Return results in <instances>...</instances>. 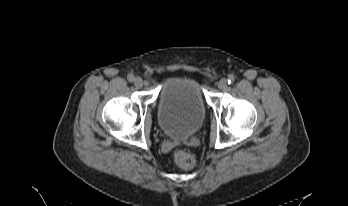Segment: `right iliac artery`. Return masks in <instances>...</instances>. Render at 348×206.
I'll list each match as a JSON object with an SVG mask.
<instances>
[{
    "label": "right iliac artery",
    "mask_w": 348,
    "mask_h": 206,
    "mask_svg": "<svg viewBox=\"0 0 348 206\" xmlns=\"http://www.w3.org/2000/svg\"><path fill=\"white\" fill-rule=\"evenodd\" d=\"M127 79H128V81L133 82L135 78L132 74H130V75H128Z\"/></svg>",
    "instance_id": "1"
}]
</instances>
